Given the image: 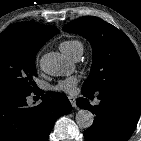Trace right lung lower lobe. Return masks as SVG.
Returning a JSON list of instances; mask_svg holds the SVG:
<instances>
[{
  "label": "right lung lower lobe",
  "instance_id": "1",
  "mask_svg": "<svg viewBox=\"0 0 141 141\" xmlns=\"http://www.w3.org/2000/svg\"><path fill=\"white\" fill-rule=\"evenodd\" d=\"M29 95L0 91V141H47L55 121L72 110L64 94L48 92L36 107H28Z\"/></svg>",
  "mask_w": 141,
  "mask_h": 141
}]
</instances>
